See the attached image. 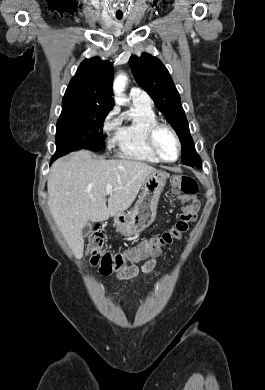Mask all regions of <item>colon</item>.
Listing matches in <instances>:
<instances>
[{
  "instance_id": "1",
  "label": "colon",
  "mask_w": 265,
  "mask_h": 390,
  "mask_svg": "<svg viewBox=\"0 0 265 390\" xmlns=\"http://www.w3.org/2000/svg\"><path fill=\"white\" fill-rule=\"evenodd\" d=\"M172 187L176 192L186 197L193 198L198 192V184L194 178L188 175H177L172 179ZM198 203L193 200L185 205L175 225L168 231L142 241L137 247L127 252L111 253L103 250L104 235L96 227L90 234L86 253L90 263L97 267L100 274L108 276L114 272H120L133 262L158 256L162 249L174 240L180 239L194 222Z\"/></svg>"
}]
</instances>
